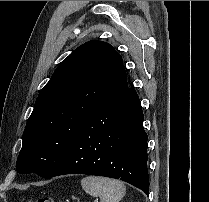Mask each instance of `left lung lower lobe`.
Here are the masks:
<instances>
[{"label":"left lung lower lobe","instance_id":"left-lung-lower-lobe-1","mask_svg":"<svg viewBox=\"0 0 209 202\" xmlns=\"http://www.w3.org/2000/svg\"><path fill=\"white\" fill-rule=\"evenodd\" d=\"M147 139L139 97L128 88L87 118L52 177L78 173L117 178L148 195Z\"/></svg>","mask_w":209,"mask_h":202}]
</instances>
